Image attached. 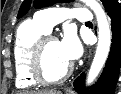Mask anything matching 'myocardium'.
Segmentation results:
<instances>
[{"instance_id": "myocardium-1", "label": "myocardium", "mask_w": 121, "mask_h": 94, "mask_svg": "<svg viewBox=\"0 0 121 94\" xmlns=\"http://www.w3.org/2000/svg\"><path fill=\"white\" fill-rule=\"evenodd\" d=\"M57 38L51 34H44L40 36L32 45L29 54V70L32 78L41 85L52 86L62 83L66 80L73 71V65L70 64L64 72L57 78H48L44 74L43 69V52L47 42Z\"/></svg>"}]
</instances>
